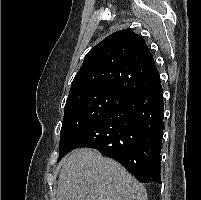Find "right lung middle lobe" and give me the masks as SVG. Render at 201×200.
<instances>
[{"mask_svg": "<svg viewBox=\"0 0 201 200\" xmlns=\"http://www.w3.org/2000/svg\"><path fill=\"white\" fill-rule=\"evenodd\" d=\"M129 97L109 90L85 91L67 98L60 131L59 162L69 141Z\"/></svg>", "mask_w": 201, "mask_h": 200, "instance_id": "dd1d6c3e", "label": "right lung middle lobe"}]
</instances>
